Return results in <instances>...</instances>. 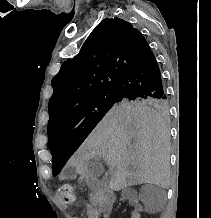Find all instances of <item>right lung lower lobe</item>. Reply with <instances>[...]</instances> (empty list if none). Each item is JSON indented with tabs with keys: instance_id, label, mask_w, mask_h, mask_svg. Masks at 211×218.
<instances>
[{
	"instance_id": "98d812e1",
	"label": "right lung lower lobe",
	"mask_w": 211,
	"mask_h": 218,
	"mask_svg": "<svg viewBox=\"0 0 211 218\" xmlns=\"http://www.w3.org/2000/svg\"><path fill=\"white\" fill-rule=\"evenodd\" d=\"M113 92L123 98H166L160 69L151 52L133 66L115 85Z\"/></svg>"
}]
</instances>
